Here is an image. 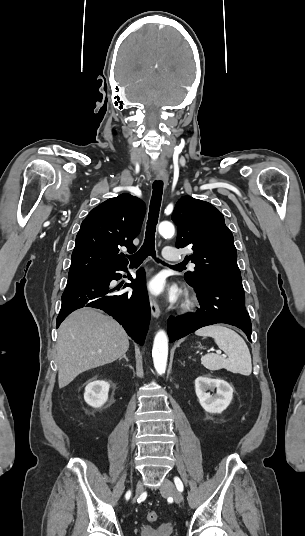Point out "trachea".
<instances>
[{"mask_svg":"<svg viewBox=\"0 0 305 536\" xmlns=\"http://www.w3.org/2000/svg\"><path fill=\"white\" fill-rule=\"evenodd\" d=\"M152 197L149 206V215L147 220L145 239L143 245L139 251H136L133 255H127V258L130 260V263H143L148 256H152L157 263H165L159 258H156L155 251V232L156 225L158 223V217L160 212V205L162 201V191H163V181L155 180L153 183ZM174 269L185 268V265L178 264L174 265Z\"/></svg>","mask_w":305,"mask_h":536,"instance_id":"obj_1","label":"trachea"}]
</instances>
